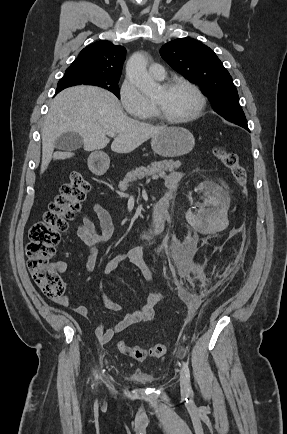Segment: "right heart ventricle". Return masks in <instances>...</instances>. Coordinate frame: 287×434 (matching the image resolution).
Wrapping results in <instances>:
<instances>
[{"label": "right heart ventricle", "instance_id": "right-heart-ventricle-1", "mask_svg": "<svg viewBox=\"0 0 287 434\" xmlns=\"http://www.w3.org/2000/svg\"><path fill=\"white\" fill-rule=\"evenodd\" d=\"M155 114L153 111V107L151 106V108L143 115L140 116V119L145 120V121H152L154 120Z\"/></svg>", "mask_w": 287, "mask_h": 434}]
</instances>
